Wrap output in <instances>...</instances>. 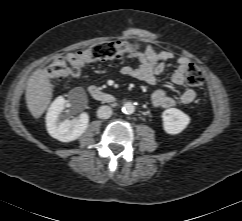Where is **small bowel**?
<instances>
[{"mask_svg":"<svg viewBox=\"0 0 242 221\" xmlns=\"http://www.w3.org/2000/svg\"><path fill=\"white\" fill-rule=\"evenodd\" d=\"M129 36L144 38L143 33L133 32ZM124 58H137L139 65L137 67L124 66L120 69L122 75L143 81L149 85L157 82L158 76L164 70V62L169 60L176 61V68L172 73L171 81L176 86L185 84V72L189 65V59L186 57H176L170 51L157 52L151 44H147L143 52L127 54ZM196 98L193 89H186L181 95L183 104H191ZM153 106L160 108H171L176 105V101L165 90H156L151 97Z\"/></svg>","mask_w":242,"mask_h":221,"instance_id":"1","label":"small bowel"}]
</instances>
